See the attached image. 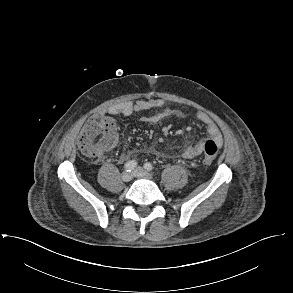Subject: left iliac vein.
I'll list each match as a JSON object with an SVG mask.
<instances>
[{"instance_id": "obj_1", "label": "left iliac vein", "mask_w": 293, "mask_h": 293, "mask_svg": "<svg viewBox=\"0 0 293 293\" xmlns=\"http://www.w3.org/2000/svg\"><path fill=\"white\" fill-rule=\"evenodd\" d=\"M133 174L135 177H138V178H144V179H150V180L153 178V176L149 172H147L141 167H137L134 170Z\"/></svg>"}]
</instances>
